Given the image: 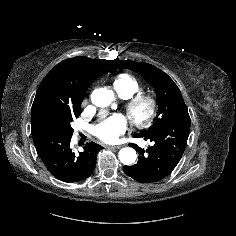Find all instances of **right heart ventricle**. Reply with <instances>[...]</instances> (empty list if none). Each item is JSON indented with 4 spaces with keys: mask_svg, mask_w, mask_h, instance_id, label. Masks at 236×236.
<instances>
[{
    "mask_svg": "<svg viewBox=\"0 0 236 236\" xmlns=\"http://www.w3.org/2000/svg\"><path fill=\"white\" fill-rule=\"evenodd\" d=\"M113 86L122 98H129L141 90L139 81L135 77L125 73L115 78Z\"/></svg>",
    "mask_w": 236,
    "mask_h": 236,
    "instance_id": "right-heart-ventricle-1",
    "label": "right heart ventricle"
}]
</instances>
